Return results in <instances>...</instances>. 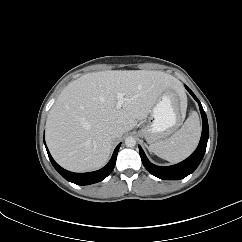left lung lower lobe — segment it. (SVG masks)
Segmentation results:
<instances>
[{
  "label": "left lung lower lobe",
  "instance_id": "1",
  "mask_svg": "<svg viewBox=\"0 0 242 242\" xmlns=\"http://www.w3.org/2000/svg\"><path fill=\"white\" fill-rule=\"evenodd\" d=\"M189 93L193 96V98L198 102L201 116H202V135L199 142L197 149L194 153L188 157L186 160L178 163L176 165L168 166V167H161L156 166L149 162L147 159L144 151L142 150L141 146H139V153L141 156V160L145 168L154 176L163 179V180H179L183 179L184 177L188 176L198 167L200 164L204 153L206 151L207 141L209 137V128H208V121L207 116L202 108L200 101L197 97L193 94V92L185 86Z\"/></svg>",
  "mask_w": 242,
  "mask_h": 242
}]
</instances>
